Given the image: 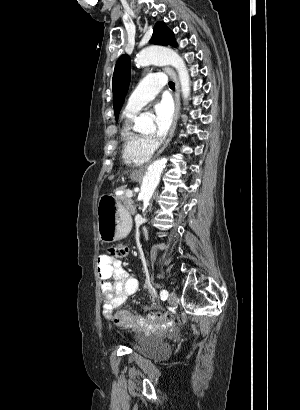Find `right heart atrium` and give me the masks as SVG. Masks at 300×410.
Here are the masks:
<instances>
[{"instance_id":"obj_1","label":"right heart atrium","mask_w":300,"mask_h":410,"mask_svg":"<svg viewBox=\"0 0 300 410\" xmlns=\"http://www.w3.org/2000/svg\"><path fill=\"white\" fill-rule=\"evenodd\" d=\"M146 144L151 150L155 147V143L151 138H146Z\"/></svg>"}]
</instances>
